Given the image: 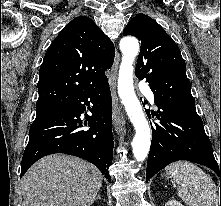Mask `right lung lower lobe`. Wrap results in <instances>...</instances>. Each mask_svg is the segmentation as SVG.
<instances>
[{
  "label": "right lung lower lobe",
  "mask_w": 221,
  "mask_h": 206,
  "mask_svg": "<svg viewBox=\"0 0 221 206\" xmlns=\"http://www.w3.org/2000/svg\"><path fill=\"white\" fill-rule=\"evenodd\" d=\"M93 104L86 121L80 116ZM111 93L106 79L81 97L36 114L21 163L22 177L38 159L53 153L74 155L93 163L109 181L113 157ZM90 108V107H88ZM90 127L85 129V127Z\"/></svg>",
  "instance_id": "obj_1"
}]
</instances>
